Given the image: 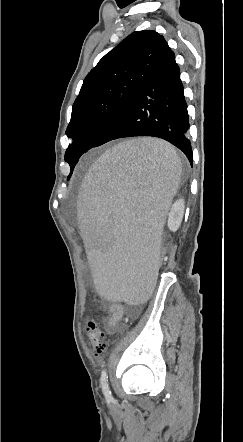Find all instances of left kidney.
<instances>
[{"instance_id":"left-kidney-1","label":"left kidney","mask_w":243,"mask_h":442,"mask_svg":"<svg viewBox=\"0 0 243 442\" xmlns=\"http://www.w3.org/2000/svg\"><path fill=\"white\" fill-rule=\"evenodd\" d=\"M185 209V203L183 199L176 200L170 209V214H168L167 226L170 231L176 232L183 220Z\"/></svg>"}]
</instances>
